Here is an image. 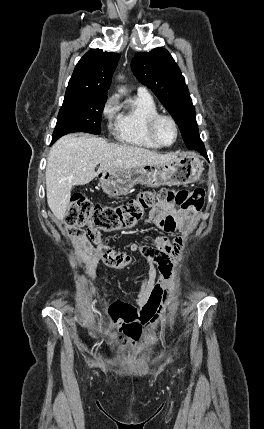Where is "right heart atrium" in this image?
I'll list each match as a JSON object with an SVG mask.
<instances>
[{
  "label": "right heart atrium",
  "instance_id": "1",
  "mask_svg": "<svg viewBox=\"0 0 264 429\" xmlns=\"http://www.w3.org/2000/svg\"><path fill=\"white\" fill-rule=\"evenodd\" d=\"M118 110L117 99L114 96H110L106 99L102 106V115L111 125L113 119L116 116Z\"/></svg>",
  "mask_w": 264,
  "mask_h": 429
}]
</instances>
